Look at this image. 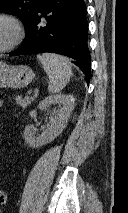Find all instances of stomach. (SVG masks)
<instances>
[{"instance_id": "1", "label": "stomach", "mask_w": 128, "mask_h": 213, "mask_svg": "<svg viewBox=\"0 0 128 213\" xmlns=\"http://www.w3.org/2000/svg\"><path fill=\"white\" fill-rule=\"evenodd\" d=\"M35 77L33 70L26 65H8L0 61V88H23Z\"/></svg>"}]
</instances>
